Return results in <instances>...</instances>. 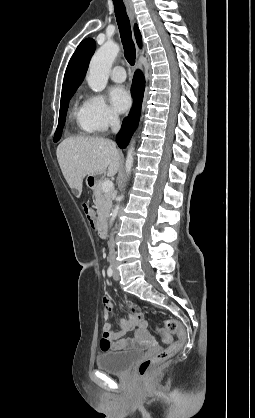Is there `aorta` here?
I'll list each match as a JSON object with an SVG mask.
<instances>
[{
  "mask_svg": "<svg viewBox=\"0 0 255 418\" xmlns=\"http://www.w3.org/2000/svg\"><path fill=\"white\" fill-rule=\"evenodd\" d=\"M119 46L114 42H106L102 45L98 51L93 55L90 64L89 70L87 75V82L89 87L95 92H101L105 89L108 77L110 73V69L112 67V63L114 62L115 58L119 53ZM133 155H134V141L131 142L130 147L128 148L125 169L126 174L129 176L131 169L133 167ZM123 196L118 198L119 202L122 200ZM120 205L116 204L114 209L110 214V226L114 222Z\"/></svg>",
  "mask_w": 255,
  "mask_h": 418,
  "instance_id": "aorta-1",
  "label": "aorta"
}]
</instances>
